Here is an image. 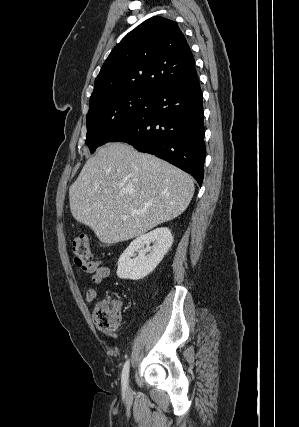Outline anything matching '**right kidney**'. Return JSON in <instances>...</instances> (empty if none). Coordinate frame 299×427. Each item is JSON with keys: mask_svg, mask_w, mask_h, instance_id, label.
Segmentation results:
<instances>
[{"mask_svg": "<svg viewBox=\"0 0 299 427\" xmlns=\"http://www.w3.org/2000/svg\"><path fill=\"white\" fill-rule=\"evenodd\" d=\"M153 243L152 246L150 244ZM173 236L167 227L157 228L133 240L118 260L117 276L139 280L150 274L171 248Z\"/></svg>", "mask_w": 299, "mask_h": 427, "instance_id": "obj_1", "label": "right kidney"}]
</instances>
